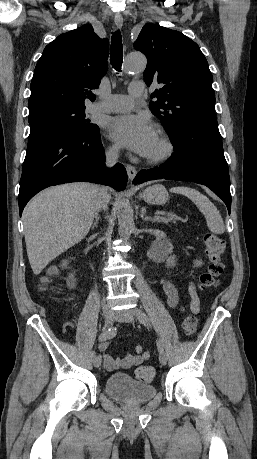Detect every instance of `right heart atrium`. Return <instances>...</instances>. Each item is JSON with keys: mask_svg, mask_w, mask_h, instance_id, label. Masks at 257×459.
<instances>
[{"mask_svg": "<svg viewBox=\"0 0 257 459\" xmlns=\"http://www.w3.org/2000/svg\"><path fill=\"white\" fill-rule=\"evenodd\" d=\"M118 151L119 149L116 145H111L107 150V154L109 157L115 158L118 154Z\"/></svg>", "mask_w": 257, "mask_h": 459, "instance_id": "right-heart-atrium-1", "label": "right heart atrium"}]
</instances>
